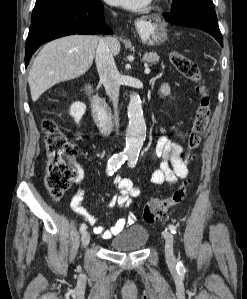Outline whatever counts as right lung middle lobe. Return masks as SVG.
Returning a JSON list of instances; mask_svg holds the SVG:
<instances>
[{"label":"right lung middle lobe","mask_w":247,"mask_h":299,"mask_svg":"<svg viewBox=\"0 0 247 299\" xmlns=\"http://www.w3.org/2000/svg\"><path fill=\"white\" fill-rule=\"evenodd\" d=\"M87 1L90 0H36L31 22L62 6L78 4Z\"/></svg>","instance_id":"obj_1"}]
</instances>
